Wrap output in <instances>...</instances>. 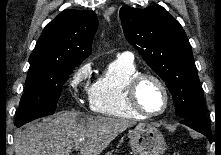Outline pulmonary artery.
Segmentation results:
<instances>
[{
  "label": "pulmonary artery",
  "instance_id": "1",
  "mask_svg": "<svg viewBox=\"0 0 221 155\" xmlns=\"http://www.w3.org/2000/svg\"><path fill=\"white\" fill-rule=\"evenodd\" d=\"M118 57H120V58H125V59H129V60H132V59H133V55H132V53H130V52L120 53V54L118 55Z\"/></svg>",
  "mask_w": 221,
  "mask_h": 155
}]
</instances>
